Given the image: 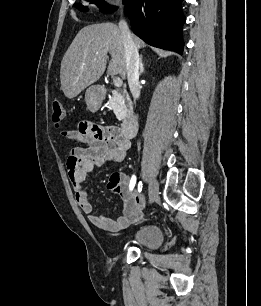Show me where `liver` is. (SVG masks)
I'll return each mask as SVG.
<instances>
[{
	"label": "liver",
	"instance_id": "1",
	"mask_svg": "<svg viewBox=\"0 0 261 306\" xmlns=\"http://www.w3.org/2000/svg\"><path fill=\"white\" fill-rule=\"evenodd\" d=\"M137 48L145 43L132 35ZM111 60L107 74L126 77V58L122 35L113 23H99L82 28L67 49L61 61L60 81L64 95L72 99L104 73L107 54Z\"/></svg>",
	"mask_w": 261,
	"mask_h": 306
}]
</instances>
